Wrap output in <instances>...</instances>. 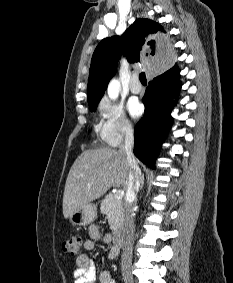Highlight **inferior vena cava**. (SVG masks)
I'll use <instances>...</instances> for the list:
<instances>
[{
	"mask_svg": "<svg viewBox=\"0 0 233 283\" xmlns=\"http://www.w3.org/2000/svg\"><path fill=\"white\" fill-rule=\"evenodd\" d=\"M134 133L130 125L125 129V137L123 144L119 147V152L126 155L129 164L128 187L125 195V203L123 206L124 224L126 236L121 256V268L127 270L132 263V250L134 243L135 225L133 220V207L136 199V193L142 182L141 170L137 164L133 154Z\"/></svg>",
	"mask_w": 233,
	"mask_h": 283,
	"instance_id": "inferior-vena-cava-1",
	"label": "inferior vena cava"
}]
</instances>
